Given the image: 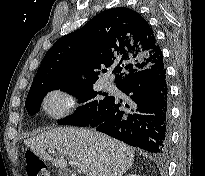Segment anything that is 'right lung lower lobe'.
<instances>
[{
    "label": "right lung lower lobe",
    "mask_w": 205,
    "mask_h": 176,
    "mask_svg": "<svg viewBox=\"0 0 205 176\" xmlns=\"http://www.w3.org/2000/svg\"><path fill=\"white\" fill-rule=\"evenodd\" d=\"M116 86L130 100L122 103L111 97L87 126L131 146L165 154L170 144V116L164 62L134 72Z\"/></svg>",
    "instance_id": "1"
}]
</instances>
